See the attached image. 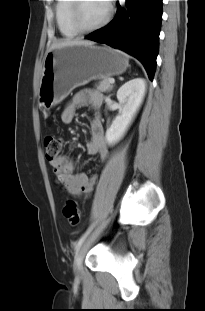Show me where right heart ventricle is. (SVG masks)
Here are the masks:
<instances>
[{
  "label": "right heart ventricle",
  "instance_id": "right-heart-ventricle-1",
  "mask_svg": "<svg viewBox=\"0 0 205 311\" xmlns=\"http://www.w3.org/2000/svg\"><path fill=\"white\" fill-rule=\"evenodd\" d=\"M71 4L72 0H57L55 8L58 29L62 36L66 38H73L80 33L74 28L70 20Z\"/></svg>",
  "mask_w": 205,
  "mask_h": 311
}]
</instances>
